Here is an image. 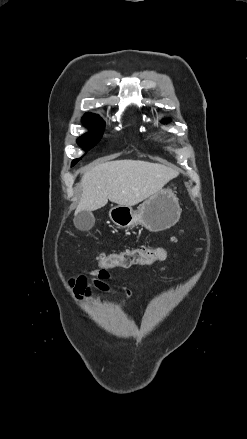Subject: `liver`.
<instances>
[{
	"label": "liver",
	"mask_w": 247,
	"mask_h": 439,
	"mask_svg": "<svg viewBox=\"0 0 247 439\" xmlns=\"http://www.w3.org/2000/svg\"><path fill=\"white\" fill-rule=\"evenodd\" d=\"M177 175L170 167L141 160L98 164L82 176V194L76 213L100 209L108 200L134 206L161 190Z\"/></svg>",
	"instance_id": "6515ba94"
}]
</instances>
